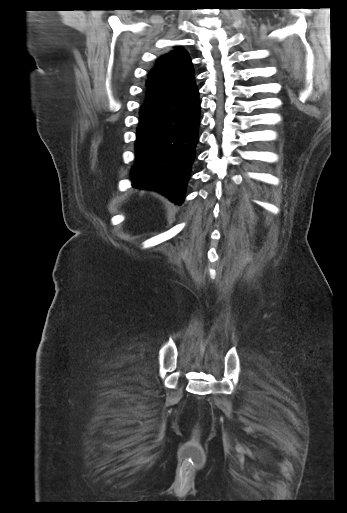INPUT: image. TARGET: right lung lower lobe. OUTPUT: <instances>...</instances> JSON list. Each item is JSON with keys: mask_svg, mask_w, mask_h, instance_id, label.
<instances>
[{"mask_svg": "<svg viewBox=\"0 0 347 513\" xmlns=\"http://www.w3.org/2000/svg\"><path fill=\"white\" fill-rule=\"evenodd\" d=\"M193 83L161 98H147L140 109L132 182L181 204L198 140L200 103Z\"/></svg>", "mask_w": 347, "mask_h": 513, "instance_id": "1", "label": "right lung lower lobe"}]
</instances>
